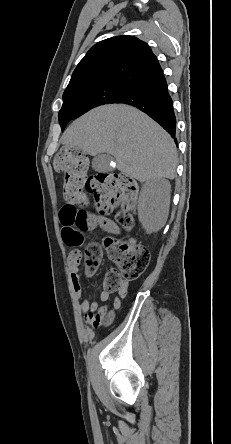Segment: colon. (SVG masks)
Segmentation results:
<instances>
[{
  "mask_svg": "<svg viewBox=\"0 0 231 444\" xmlns=\"http://www.w3.org/2000/svg\"><path fill=\"white\" fill-rule=\"evenodd\" d=\"M55 169L64 176L63 194L67 204L62 208L61 223L76 230L86 232L98 227L104 214L121 206L118 222L129 228L133 224L130 210L138 196V184L124 174L104 173L87 177V157L75 148H61L54 159ZM86 194L93 197L96 212L81 207ZM106 250L115 267L109 270L104 279V290L113 293L121 288L124 281L139 278L150 262V252L144 246L132 241H119L106 238L103 245L90 243L84 251V263L88 272H93L100 264Z\"/></svg>",
  "mask_w": 231,
  "mask_h": 444,
  "instance_id": "5ec220e1",
  "label": "colon"
}]
</instances>
